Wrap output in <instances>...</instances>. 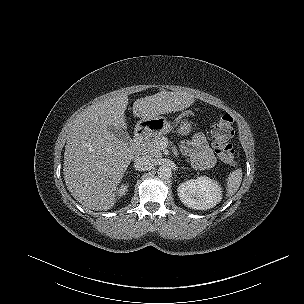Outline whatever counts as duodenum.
<instances>
[{
	"label": "duodenum",
	"instance_id": "1",
	"mask_svg": "<svg viewBox=\"0 0 304 304\" xmlns=\"http://www.w3.org/2000/svg\"><path fill=\"white\" fill-rule=\"evenodd\" d=\"M146 134L137 130L134 134V140L132 142V150L137 152L142 147L143 143L145 142Z\"/></svg>",
	"mask_w": 304,
	"mask_h": 304
}]
</instances>
